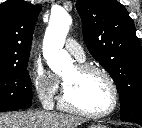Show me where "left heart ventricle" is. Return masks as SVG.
<instances>
[{
	"label": "left heart ventricle",
	"instance_id": "1",
	"mask_svg": "<svg viewBox=\"0 0 142 128\" xmlns=\"http://www.w3.org/2000/svg\"><path fill=\"white\" fill-rule=\"evenodd\" d=\"M70 102L78 108L99 113L108 110L113 95L107 80L99 73H81L76 67L63 75Z\"/></svg>",
	"mask_w": 142,
	"mask_h": 128
}]
</instances>
